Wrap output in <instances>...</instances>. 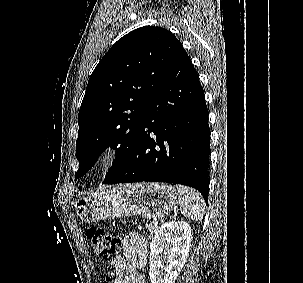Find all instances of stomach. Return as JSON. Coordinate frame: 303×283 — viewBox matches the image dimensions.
Returning a JSON list of instances; mask_svg holds the SVG:
<instances>
[{"label":"stomach","instance_id":"stomach-1","mask_svg":"<svg viewBox=\"0 0 303 283\" xmlns=\"http://www.w3.org/2000/svg\"><path fill=\"white\" fill-rule=\"evenodd\" d=\"M177 192L166 183L125 185L78 198L77 215L86 222L141 215L156 219L169 214L177 204Z\"/></svg>","mask_w":303,"mask_h":283}]
</instances>
